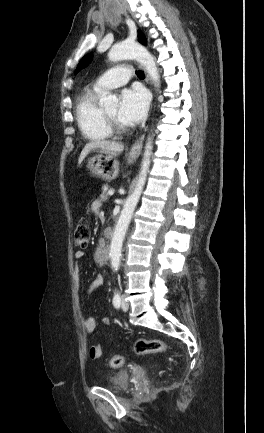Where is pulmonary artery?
Here are the masks:
<instances>
[{"mask_svg": "<svg viewBox=\"0 0 264 433\" xmlns=\"http://www.w3.org/2000/svg\"><path fill=\"white\" fill-rule=\"evenodd\" d=\"M130 78V68L127 65H119L99 77L94 84V88L99 91L117 88L125 85Z\"/></svg>", "mask_w": 264, "mask_h": 433, "instance_id": "obj_1", "label": "pulmonary artery"}]
</instances>
